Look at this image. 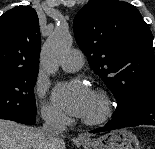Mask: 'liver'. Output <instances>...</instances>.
<instances>
[{
	"label": "liver",
	"instance_id": "liver-1",
	"mask_svg": "<svg viewBox=\"0 0 155 149\" xmlns=\"http://www.w3.org/2000/svg\"><path fill=\"white\" fill-rule=\"evenodd\" d=\"M58 149H66L65 143ZM0 149H46L42 129L0 120Z\"/></svg>",
	"mask_w": 155,
	"mask_h": 149
}]
</instances>
